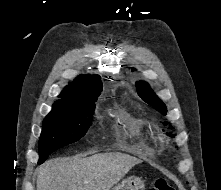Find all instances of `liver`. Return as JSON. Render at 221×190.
I'll return each instance as SVG.
<instances>
[{
    "label": "liver",
    "mask_w": 221,
    "mask_h": 190,
    "mask_svg": "<svg viewBox=\"0 0 221 190\" xmlns=\"http://www.w3.org/2000/svg\"><path fill=\"white\" fill-rule=\"evenodd\" d=\"M139 163L120 152L51 159L38 168L36 190H110Z\"/></svg>",
    "instance_id": "obj_1"
}]
</instances>
